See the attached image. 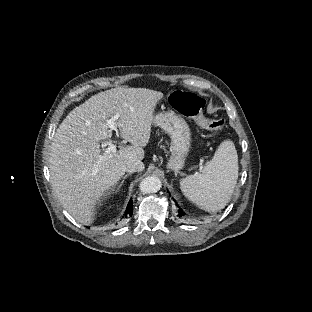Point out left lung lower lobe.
I'll return each mask as SVG.
<instances>
[{
	"instance_id": "left-lung-lower-lobe-1",
	"label": "left lung lower lobe",
	"mask_w": 312,
	"mask_h": 312,
	"mask_svg": "<svg viewBox=\"0 0 312 312\" xmlns=\"http://www.w3.org/2000/svg\"><path fill=\"white\" fill-rule=\"evenodd\" d=\"M178 213H179V214H178L179 217H181V216L183 215V212H182V211H178Z\"/></svg>"
}]
</instances>
